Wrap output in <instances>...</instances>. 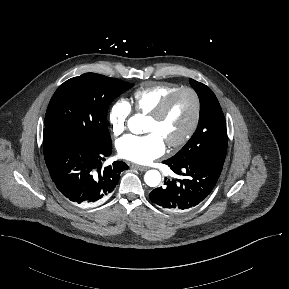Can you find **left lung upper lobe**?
<instances>
[{
    "instance_id": "1",
    "label": "left lung upper lobe",
    "mask_w": 289,
    "mask_h": 289,
    "mask_svg": "<svg viewBox=\"0 0 289 289\" xmlns=\"http://www.w3.org/2000/svg\"><path fill=\"white\" fill-rule=\"evenodd\" d=\"M190 84L200 100L199 124L191 139L169 160L182 162L201 157L225 159L228 139L221 106L209 87L193 79H190Z\"/></svg>"
}]
</instances>
